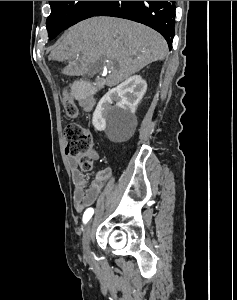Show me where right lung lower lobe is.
I'll use <instances>...</instances> for the list:
<instances>
[{"instance_id":"right-lung-lower-lobe-1","label":"right lung lower lobe","mask_w":237,"mask_h":300,"mask_svg":"<svg viewBox=\"0 0 237 300\" xmlns=\"http://www.w3.org/2000/svg\"><path fill=\"white\" fill-rule=\"evenodd\" d=\"M93 16H113L133 20L158 31L168 42L175 35V1H105Z\"/></svg>"}]
</instances>
